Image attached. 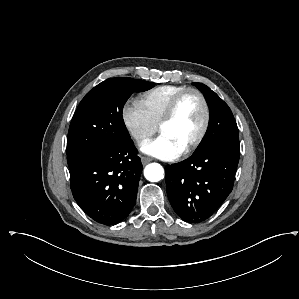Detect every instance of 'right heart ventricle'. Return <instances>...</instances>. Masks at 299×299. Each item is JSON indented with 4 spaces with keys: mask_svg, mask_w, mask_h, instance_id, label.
Listing matches in <instances>:
<instances>
[{
    "mask_svg": "<svg viewBox=\"0 0 299 299\" xmlns=\"http://www.w3.org/2000/svg\"><path fill=\"white\" fill-rule=\"evenodd\" d=\"M180 85H161L141 94L137 102L153 124L158 125L173 98L186 89Z\"/></svg>",
    "mask_w": 299,
    "mask_h": 299,
    "instance_id": "right-heart-ventricle-1",
    "label": "right heart ventricle"
}]
</instances>
